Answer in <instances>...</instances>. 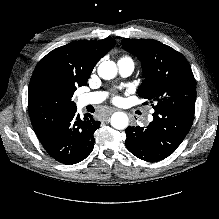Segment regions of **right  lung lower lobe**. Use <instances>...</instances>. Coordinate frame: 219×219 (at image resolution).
<instances>
[{
  "label": "right lung lower lobe",
  "mask_w": 219,
  "mask_h": 219,
  "mask_svg": "<svg viewBox=\"0 0 219 219\" xmlns=\"http://www.w3.org/2000/svg\"><path fill=\"white\" fill-rule=\"evenodd\" d=\"M77 108L58 115L31 114L33 128L45 150L55 160L75 164L84 160L93 150L94 132L100 122L90 114L83 119Z\"/></svg>",
  "instance_id": "right-lung-lower-lobe-1"
}]
</instances>
